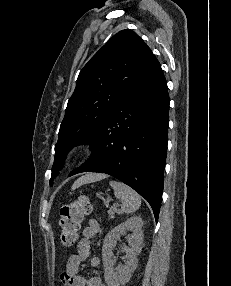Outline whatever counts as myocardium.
Returning <instances> with one entry per match:
<instances>
[{"label": "myocardium", "instance_id": "f54148a6", "mask_svg": "<svg viewBox=\"0 0 231 286\" xmlns=\"http://www.w3.org/2000/svg\"><path fill=\"white\" fill-rule=\"evenodd\" d=\"M90 150V145L88 144H80L74 147L69 152V160L72 162H76L83 158Z\"/></svg>", "mask_w": 231, "mask_h": 286}]
</instances>
